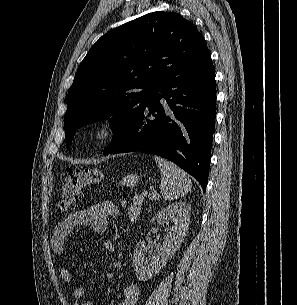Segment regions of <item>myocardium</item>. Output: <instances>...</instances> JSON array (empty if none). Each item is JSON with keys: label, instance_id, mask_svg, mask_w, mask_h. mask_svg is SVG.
<instances>
[{"label": "myocardium", "instance_id": "f54148a6", "mask_svg": "<svg viewBox=\"0 0 297 305\" xmlns=\"http://www.w3.org/2000/svg\"><path fill=\"white\" fill-rule=\"evenodd\" d=\"M117 134L114 122L108 119L92 123L87 129V136L94 142H105L113 139Z\"/></svg>", "mask_w": 297, "mask_h": 305}]
</instances>
